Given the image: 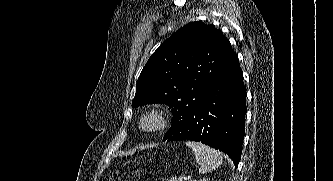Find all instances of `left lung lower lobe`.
Here are the masks:
<instances>
[{"label":"left lung lower lobe","mask_w":333,"mask_h":181,"mask_svg":"<svg viewBox=\"0 0 333 181\" xmlns=\"http://www.w3.org/2000/svg\"><path fill=\"white\" fill-rule=\"evenodd\" d=\"M246 89L238 58L213 81L201 102L172 120L163 141L193 140L226 153L235 167L245 134Z\"/></svg>","instance_id":"obj_1"}]
</instances>
